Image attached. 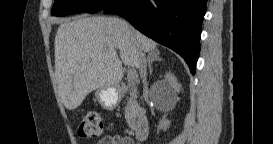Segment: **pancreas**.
Wrapping results in <instances>:
<instances>
[{
    "mask_svg": "<svg viewBox=\"0 0 273 144\" xmlns=\"http://www.w3.org/2000/svg\"><path fill=\"white\" fill-rule=\"evenodd\" d=\"M137 91L133 89L130 92V97L127 99V104L125 107V119L129 127H133L137 116L143 111L138 105L137 101Z\"/></svg>",
    "mask_w": 273,
    "mask_h": 144,
    "instance_id": "1",
    "label": "pancreas"
}]
</instances>
